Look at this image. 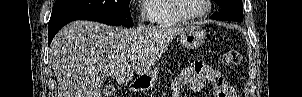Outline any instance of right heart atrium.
I'll return each instance as SVG.
<instances>
[{
	"instance_id": "d8ad5b80",
	"label": "right heart atrium",
	"mask_w": 302,
	"mask_h": 97,
	"mask_svg": "<svg viewBox=\"0 0 302 97\" xmlns=\"http://www.w3.org/2000/svg\"><path fill=\"white\" fill-rule=\"evenodd\" d=\"M139 16H140L141 19H146L147 18L146 14L143 11L140 12Z\"/></svg>"
}]
</instances>
